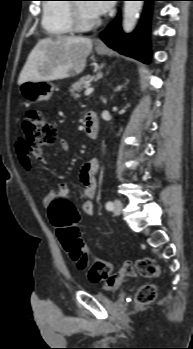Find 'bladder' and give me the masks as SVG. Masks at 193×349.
Listing matches in <instances>:
<instances>
[{
	"label": "bladder",
	"mask_w": 193,
	"mask_h": 349,
	"mask_svg": "<svg viewBox=\"0 0 193 349\" xmlns=\"http://www.w3.org/2000/svg\"><path fill=\"white\" fill-rule=\"evenodd\" d=\"M94 296L100 301H105V300H108L110 298L109 294L107 292L94 293Z\"/></svg>",
	"instance_id": "obj_1"
}]
</instances>
